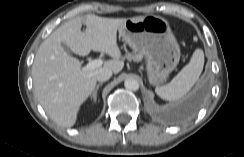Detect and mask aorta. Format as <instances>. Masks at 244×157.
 <instances>
[{"label": "aorta", "instance_id": "762f6f07", "mask_svg": "<svg viewBox=\"0 0 244 157\" xmlns=\"http://www.w3.org/2000/svg\"><path fill=\"white\" fill-rule=\"evenodd\" d=\"M124 86L128 90L137 91L139 89V82L135 78H127L124 81Z\"/></svg>", "mask_w": 244, "mask_h": 157}]
</instances>
